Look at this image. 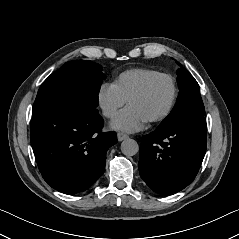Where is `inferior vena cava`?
Listing matches in <instances>:
<instances>
[{
    "label": "inferior vena cava",
    "instance_id": "obj_1",
    "mask_svg": "<svg viewBox=\"0 0 239 239\" xmlns=\"http://www.w3.org/2000/svg\"><path fill=\"white\" fill-rule=\"evenodd\" d=\"M103 115L106 117H111L113 115V111L111 109L106 108L103 110Z\"/></svg>",
    "mask_w": 239,
    "mask_h": 239
}]
</instances>
